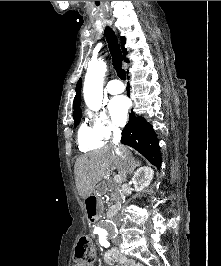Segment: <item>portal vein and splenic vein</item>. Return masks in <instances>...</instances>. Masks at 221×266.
Masks as SVG:
<instances>
[{"label": "portal vein and splenic vein", "instance_id": "1", "mask_svg": "<svg viewBox=\"0 0 221 266\" xmlns=\"http://www.w3.org/2000/svg\"><path fill=\"white\" fill-rule=\"evenodd\" d=\"M112 169H115V168H112ZM114 181H115L116 183H119V182L121 181V177H120V175H115V176H114Z\"/></svg>", "mask_w": 221, "mask_h": 266}]
</instances>
